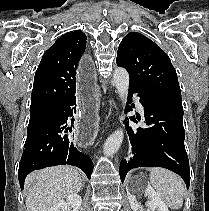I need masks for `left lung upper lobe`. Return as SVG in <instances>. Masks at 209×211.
I'll list each match as a JSON object with an SVG mask.
<instances>
[{
	"mask_svg": "<svg viewBox=\"0 0 209 211\" xmlns=\"http://www.w3.org/2000/svg\"><path fill=\"white\" fill-rule=\"evenodd\" d=\"M116 63L129 72L130 85L153 97L182 102L177 74L169 57L144 35L127 34L119 45Z\"/></svg>",
	"mask_w": 209,
	"mask_h": 211,
	"instance_id": "left-lung-upper-lobe-1",
	"label": "left lung upper lobe"
}]
</instances>
